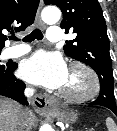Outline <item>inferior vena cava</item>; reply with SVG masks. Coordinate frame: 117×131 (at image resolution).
I'll list each match as a JSON object with an SVG mask.
<instances>
[{"label": "inferior vena cava", "mask_w": 117, "mask_h": 131, "mask_svg": "<svg viewBox=\"0 0 117 131\" xmlns=\"http://www.w3.org/2000/svg\"><path fill=\"white\" fill-rule=\"evenodd\" d=\"M34 92L35 90L33 88H26L24 94L27 98H30L33 96ZM21 116L22 120L18 125L17 131H20L21 128L23 127L24 120L29 116V110L27 108L26 109L22 108Z\"/></svg>", "instance_id": "602c4592"}]
</instances>
